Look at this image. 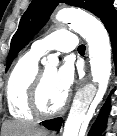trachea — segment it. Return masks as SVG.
Listing matches in <instances>:
<instances>
[{
    "label": "trachea",
    "instance_id": "1",
    "mask_svg": "<svg viewBox=\"0 0 117 136\" xmlns=\"http://www.w3.org/2000/svg\"><path fill=\"white\" fill-rule=\"evenodd\" d=\"M78 52H85V46L84 45H80L78 47Z\"/></svg>",
    "mask_w": 117,
    "mask_h": 136
}]
</instances>
